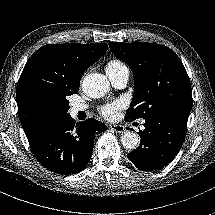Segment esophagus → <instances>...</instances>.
<instances>
[{
	"label": "esophagus",
	"mask_w": 215,
	"mask_h": 215,
	"mask_svg": "<svg viewBox=\"0 0 215 215\" xmlns=\"http://www.w3.org/2000/svg\"><path fill=\"white\" fill-rule=\"evenodd\" d=\"M109 128L111 130H113L114 132L116 133H124L126 131L125 127L123 125H120V124H113V125H110Z\"/></svg>",
	"instance_id": "esophagus-1"
}]
</instances>
